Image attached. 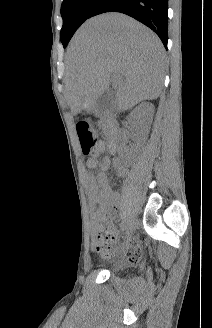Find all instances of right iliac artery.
<instances>
[{
	"instance_id": "1",
	"label": "right iliac artery",
	"mask_w": 212,
	"mask_h": 328,
	"mask_svg": "<svg viewBox=\"0 0 212 328\" xmlns=\"http://www.w3.org/2000/svg\"><path fill=\"white\" fill-rule=\"evenodd\" d=\"M126 226H127V221L124 220L121 222V230L124 231L126 229Z\"/></svg>"
}]
</instances>
